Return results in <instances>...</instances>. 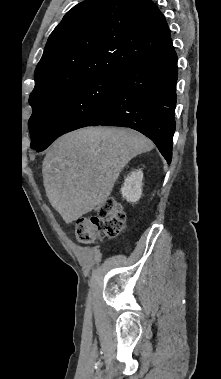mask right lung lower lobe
Masks as SVG:
<instances>
[{"instance_id":"right-lung-lower-lobe-1","label":"right lung lower lobe","mask_w":221,"mask_h":379,"mask_svg":"<svg viewBox=\"0 0 221 379\" xmlns=\"http://www.w3.org/2000/svg\"><path fill=\"white\" fill-rule=\"evenodd\" d=\"M177 76V55L172 44L125 68L119 74L111 102L89 126L135 129L156 144L169 164L175 132Z\"/></svg>"}]
</instances>
